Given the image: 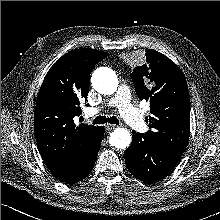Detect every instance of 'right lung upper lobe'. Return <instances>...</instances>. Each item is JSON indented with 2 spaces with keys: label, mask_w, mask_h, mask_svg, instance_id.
<instances>
[{
  "label": "right lung upper lobe",
  "mask_w": 220,
  "mask_h": 220,
  "mask_svg": "<svg viewBox=\"0 0 220 220\" xmlns=\"http://www.w3.org/2000/svg\"><path fill=\"white\" fill-rule=\"evenodd\" d=\"M107 55L91 48L73 50L62 56L44 78L35 109V137L54 175L75 167L98 130L87 124L76 126L73 118L81 114L79 105L89 92L91 70Z\"/></svg>",
  "instance_id": "obj_1"
}]
</instances>
